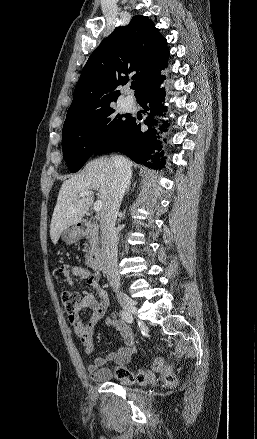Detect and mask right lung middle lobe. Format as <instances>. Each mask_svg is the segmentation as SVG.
<instances>
[{"instance_id":"obj_1","label":"right lung middle lobe","mask_w":257,"mask_h":439,"mask_svg":"<svg viewBox=\"0 0 257 439\" xmlns=\"http://www.w3.org/2000/svg\"><path fill=\"white\" fill-rule=\"evenodd\" d=\"M130 119L107 106L65 122L62 148L71 172H77L100 146L118 136Z\"/></svg>"}]
</instances>
